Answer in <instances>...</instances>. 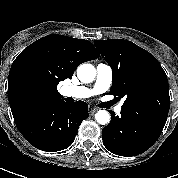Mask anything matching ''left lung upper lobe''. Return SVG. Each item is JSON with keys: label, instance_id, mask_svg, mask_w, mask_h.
Instances as JSON below:
<instances>
[{"label": "left lung upper lobe", "instance_id": "obj_1", "mask_svg": "<svg viewBox=\"0 0 178 178\" xmlns=\"http://www.w3.org/2000/svg\"><path fill=\"white\" fill-rule=\"evenodd\" d=\"M94 44L112 68L111 94L125 98L122 111L164 127L170 108L169 84L157 59L123 39L96 40Z\"/></svg>", "mask_w": 178, "mask_h": 178}]
</instances>
